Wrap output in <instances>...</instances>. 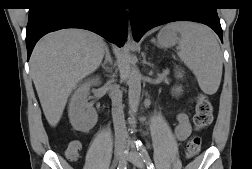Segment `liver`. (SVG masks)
Instances as JSON below:
<instances>
[{"instance_id": "obj_1", "label": "liver", "mask_w": 252, "mask_h": 169, "mask_svg": "<svg viewBox=\"0 0 252 169\" xmlns=\"http://www.w3.org/2000/svg\"><path fill=\"white\" fill-rule=\"evenodd\" d=\"M106 43L82 29L49 33L35 45L30 69L48 123L55 127L76 85L101 64Z\"/></svg>"}]
</instances>
